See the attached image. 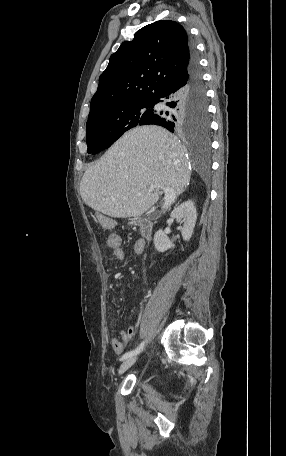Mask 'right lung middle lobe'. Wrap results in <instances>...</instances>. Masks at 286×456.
<instances>
[{
    "mask_svg": "<svg viewBox=\"0 0 286 456\" xmlns=\"http://www.w3.org/2000/svg\"><path fill=\"white\" fill-rule=\"evenodd\" d=\"M154 100L123 102L111 105L93 115L86 124L87 152L96 154L109 148L124 132L145 125L153 117ZM208 132V123L194 127Z\"/></svg>",
    "mask_w": 286,
    "mask_h": 456,
    "instance_id": "right-lung-middle-lobe-1",
    "label": "right lung middle lobe"
}]
</instances>
